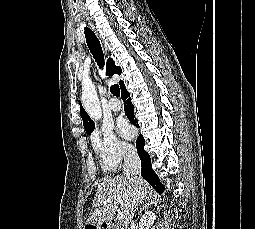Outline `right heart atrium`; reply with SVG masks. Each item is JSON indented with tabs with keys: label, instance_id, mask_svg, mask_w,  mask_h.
I'll use <instances>...</instances> for the list:
<instances>
[{
	"label": "right heart atrium",
	"instance_id": "d8ad5b80",
	"mask_svg": "<svg viewBox=\"0 0 255 229\" xmlns=\"http://www.w3.org/2000/svg\"><path fill=\"white\" fill-rule=\"evenodd\" d=\"M92 145L101 167L106 171L116 169L124 158L134 153L133 146L120 140L108 127L94 131Z\"/></svg>",
	"mask_w": 255,
	"mask_h": 229
}]
</instances>
